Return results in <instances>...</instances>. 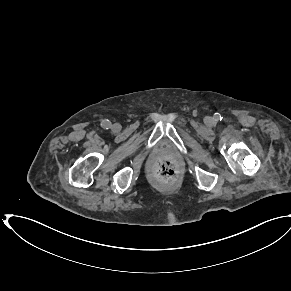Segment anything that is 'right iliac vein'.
I'll list each match as a JSON object with an SVG mask.
<instances>
[{
    "mask_svg": "<svg viewBox=\"0 0 291 291\" xmlns=\"http://www.w3.org/2000/svg\"><path fill=\"white\" fill-rule=\"evenodd\" d=\"M112 130H113V131H118V130H120V125H119L118 123L114 124V125L112 126Z\"/></svg>",
    "mask_w": 291,
    "mask_h": 291,
    "instance_id": "1",
    "label": "right iliac vein"
}]
</instances>
